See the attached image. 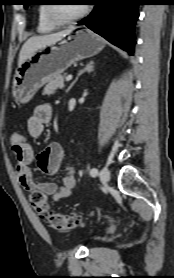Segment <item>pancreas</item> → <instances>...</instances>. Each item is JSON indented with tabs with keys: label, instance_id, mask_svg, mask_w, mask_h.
<instances>
[{
	"label": "pancreas",
	"instance_id": "pancreas-1",
	"mask_svg": "<svg viewBox=\"0 0 174 278\" xmlns=\"http://www.w3.org/2000/svg\"><path fill=\"white\" fill-rule=\"evenodd\" d=\"M64 78V75H58L52 78L45 86L43 94L50 96L53 95L58 89H63L65 87Z\"/></svg>",
	"mask_w": 174,
	"mask_h": 278
}]
</instances>
